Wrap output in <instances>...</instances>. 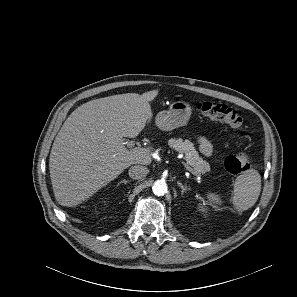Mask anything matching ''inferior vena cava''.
Masks as SVG:
<instances>
[{
	"label": "inferior vena cava",
	"mask_w": 297,
	"mask_h": 297,
	"mask_svg": "<svg viewBox=\"0 0 297 297\" xmlns=\"http://www.w3.org/2000/svg\"><path fill=\"white\" fill-rule=\"evenodd\" d=\"M149 170L145 166L135 165L129 168L128 174L132 179H142L148 174Z\"/></svg>",
	"instance_id": "obj_1"
}]
</instances>
